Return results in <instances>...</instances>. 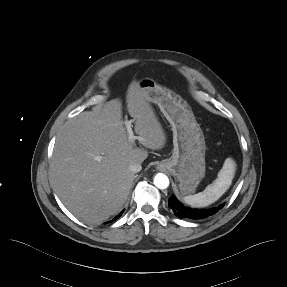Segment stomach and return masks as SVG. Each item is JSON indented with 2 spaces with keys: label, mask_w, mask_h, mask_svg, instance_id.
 Instances as JSON below:
<instances>
[{
  "label": "stomach",
  "mask_w": 287,
  "mask_h": 287,
  "mask_svg": "<svg viewBox=\"0 0 287 287\" xmlns=\"http://www.w3.org/2000/svg\"><path fill=\"white\" fill-rule=\"evenodd\" d=\"M138 87L149 102L155 103L173 131V154L158 163L175 178L180 194L195 192L205 175V138L188 103L151 78L139 80Z\"/></svg>",
  "instance_id": "1"
}]
</instances>
